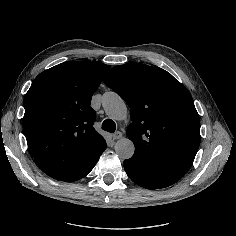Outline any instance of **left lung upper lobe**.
<instances>
[{
  "mask_svg": "<svg viewBox=\"0 0 236 236\" xmlns=\"http://www.w3.org/2000/svg\"><path fill=\"white\" fill-rule=\"evenodd\" d=\"M103 82L128 104L127 136L135 155L181 178L200 145V120L189 91L167 71L152 65L115 66Z\"/></svg>",
  "mask_w": 236,
  "mask_h": 236,
  "instance_id": "left-lung-upper-lobe-1",
  "label": "left lung upper lobe"
}]
</instances>
